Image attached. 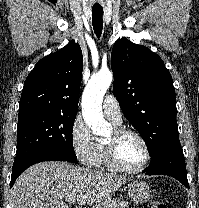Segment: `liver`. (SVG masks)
Segmentation results:
<instances>
[{"label":"liver","instance_id":"1","mask_svg":"<svg viewBox=\"0 0 199 208\" xmlns=\"http://www.w3.org/2000/svg\"><path fill=\"white\" fill-rule=\"evenodd\" d=\"M129 178L93 171L66 162L35 164L16 180L11 191L12 208H69L75 197L79 205H94L108 199Z\"/></svg>","mask_w":199,"mask_h":208}]
</instances>
